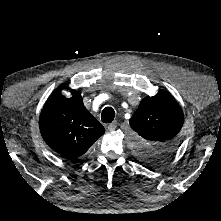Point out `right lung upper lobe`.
<instances>
[{
	"label": "right lung upper lobe",
	"instance_id": "obj_1",
	"mask_svg": "<svg viewBox=\"0 0 221 221\" xmlns=\"http://www.w3.org/2000/svg\"><path fill=\"white\" fill-rule=\"evenodd\" d=\"M56 88L40 115V131L45 142L58 154L75 159L83 155L104 134L105 129L85 108L81 95L72 90V97Z\"/></svg>",
	"mask_w": 221,
	"mask_h": 221
}]
</instances>
